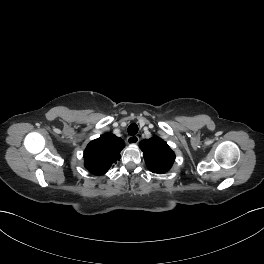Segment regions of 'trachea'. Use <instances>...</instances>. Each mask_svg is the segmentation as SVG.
Returning a JSON list of instances; mask_svg holds the SVG:
<instances>
[{"label": "trachea", "instance_id": "obj_1", "mask_svg": "<svg viewBox=\"0 0 264 264\" xmlns=\"http://www.w3.org/2000/svg\"><path fill=\"white\" fill-rule=\"evenodd\" d=\"M137 132H138V126L135 123L130 124L128 127V134L135 135Z\"/></svg>", "mask_w": 264, "mask_h": 264}]
</instances>
